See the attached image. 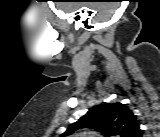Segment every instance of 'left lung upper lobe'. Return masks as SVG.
I'll list each match as a JSON object with an SVG mask.
<instances>
[{
  "mask_svg": "<svg viewBox=\"0 0 160 137\" xmlns=\"http://www.w3.org/2000/svg\"><path fill=\"white\" fill-rule=\"evenodd\" d=\"M92 128L105 137H131L139 127L133 112L121 103H105L96 106L92 111L73 123L63 136L72 134L80 128Z\"/></svg>",
  "mask_w": 160,
  "mask_h": 137,
  "instance_id": "1",
  "label": "left lung upper lobe"
}]
</instances>
